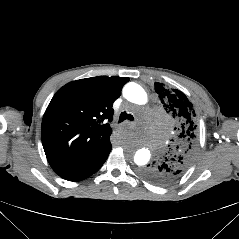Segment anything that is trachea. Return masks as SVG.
<instances>
[{"mask_svg":"<svg viewBox=\"0 0 239 239\" xmlns=\"http://www.w3.org/2000/svg\"><path fill=\"white\" fill-rule=\"evenodd\" d=\"M124 120H130L133 121L134 117L130 114H127L126 112H122L119 117V123L123 122Z\"/></svg>","mask_w":239,"mask_h":239,"instance_id":"1","label":"trachea"}]
</instances>
